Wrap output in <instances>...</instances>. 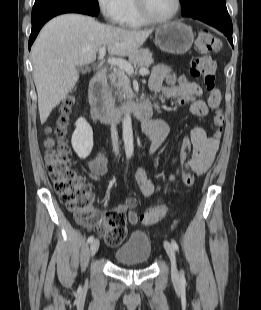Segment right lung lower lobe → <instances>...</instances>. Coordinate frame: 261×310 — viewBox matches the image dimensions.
<instances>
[{"instance_id": "98d812e1", "label": "right lung lower lobe", "mask_w": 261, "mask_h": 310, "mask_svg": "<svg viewBox=\"0 0 261 310\" xmlns=\"http://www.w3.org/2000/svg\"><path fill=\"white\" fill-rule=\"evenodd\" d=\"M63 13H81L90 16H97L98 14L89 8L75 6V5H54L46 7L35 14H32V30L29 38V49L34 42L38 32L42 26L52 17Z\"/></svg>"}]
</instances>
